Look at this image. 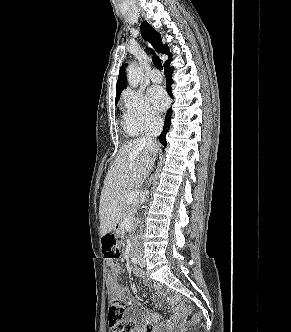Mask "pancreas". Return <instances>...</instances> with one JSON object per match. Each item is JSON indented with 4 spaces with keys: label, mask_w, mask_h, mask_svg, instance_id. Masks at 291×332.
Returning a JSON list of instances; mask_svg holds the SVG:
<instances>
[{
    "label": "pancreas",
    "mask_w": 291,
    "mask_h": 332,
    "mask_svg": "<svg viewBox=\"0 0 291 332\" xmlns=\"http://www.w3.org/2000/svg\"><path fill=\"white\" fill-rule=\"evenodd\" d=\"M137 207V202L128 203L125 197L122 204V219L129 218L130 224L133 225L134 213Z\"/></svg>",
    "instance_id": "obj_1"
}]
</instances>
